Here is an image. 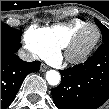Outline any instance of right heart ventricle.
Masks as SVG:
<instances>
[{
  "label": "right heart ventricle",
  "mask_w": 109,
  "mask_h": 109,
  "mask_svg": "<svg viewBox=\"0 0 109 109\" xmlns=\"http://www.w3.org/2000/svg\"><path fill=\"white\" fill-rule=\"evenodd\" d=\"M87 22L74 19L67 23L55 24L50 27H32L26 33V39L34 40L44 45L49 51L50 56L46 59H52L64 47L72 34Z\"/></svg>",
  "instance_id": "right-heart-ventricle-1"
}]
</instances>
